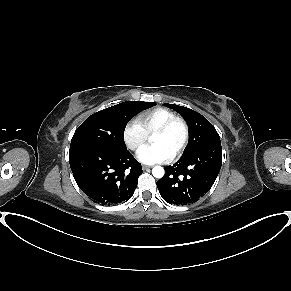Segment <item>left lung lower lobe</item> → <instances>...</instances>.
<instances>
[{
	"label": "left lung lower lobe",
	"instance_id": "1",
	"mask_svg": "<svg viewBox=\"0 0 291 291\" xmlns=\"http://www.w3.org/2000/svg\"><path fill=\"white\" fill-rule=\"evenodd\" d=\"M221 165V143L192 151L166 167L165 176L157 181L159 193L170 204L194 203L211 189Z\"/></svg>",
	"mask_w": 291,
	"mask_h": 291
}]
</instances>
